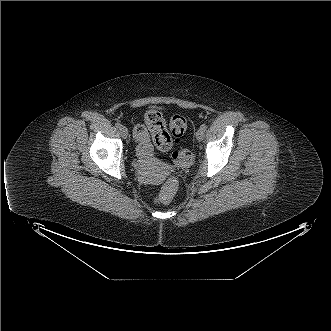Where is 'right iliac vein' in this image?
<instances>
[{
    "label": "right iliac vein",
    "mask_w": 331,
    "mask_h": 331,
    "mask_svg": "<svg viewBox=\"0 0 331 331\" xmlns=\"http://www.w3.org/2000/svg\"><path fill=\"white\" fill-rule=\"evenodd\" d=\"M120 134L124 139H126L128 137V129L125 126H121Z\"/></svg>",
    "instance_id": "right-iliac-vein-1"
}]
</instances>
